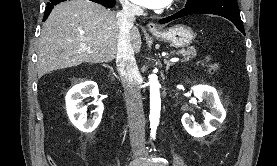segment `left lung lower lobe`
Masks as SVG:
<instances>
[{"label": "left lung lower lobe", "instance_id": "1", "mask_svg": "<svg viewBox=\"0 0 277 166\" xmlns=\"http://www.w3.org/2000/svg\"><path fill=\"white\" fill-rule=\"evenodd\" d=\"M201 13L225 17L245 34L236 0H202L192 6L185 7L174 15L161 19L159 23L164 24L187 15Z\"/></svg>", "mask_w": 277, "mask_h": 166}]
</instances>
